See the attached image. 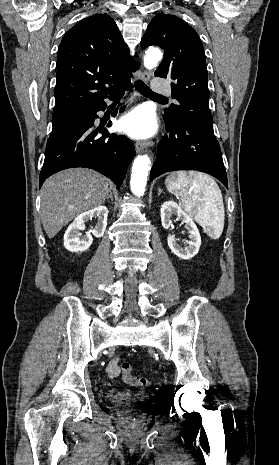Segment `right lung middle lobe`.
<instances>
[{
    "label": "right lung middle lobe",
    "mask_w": 279,
    "mask_h": 465,
    "mask_svg": "<svg viewBox=\"0 0 279 465\" xmlns=\"http://www.w3.org/2000/svg\"><path fill=\"white\" fill-rule=\"evenodd\" d=\"M77 121L78 119L75 118L66 123L53 126L51 135L47 141L46 149L51 148L53 145H55L59 141L61 137L65 135V133L73 129L77 125Z\"/></svg>",
    "instance_id": "1"
}]
</instances>
